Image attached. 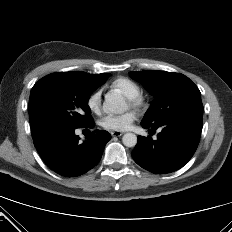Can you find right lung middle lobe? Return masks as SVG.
<instances>
[{"instance_id":"obj_1","label":"right lung middle lobe","mask_w":232,"mask_h":232,"mask_svg":"<svg viewBox=\"0 0 232 232\" xmlns=\"http://www.w3.org/2000/svg\"><path fill=\"white\" fill-rule=\"evenodd\" d=\"M107 76L73 71L52 73L40 79L29 99L31 130L84 128L93 124L87 102L90 94L106 82Z\"/></svg>"}]
</instances>
